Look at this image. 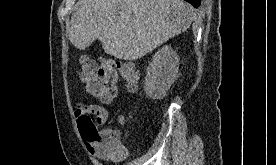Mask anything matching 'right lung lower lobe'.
Listing matches in <instances>:
<instances>
[{"label": "right lung lower lobe", "instance_id": "obj_1", "mask_svg": "<svg viewBox=\"0 0 276 165\" xmlns=\"http://www.w3.org/2000/svg\"><path fill=\"white\" fill-rule=\"evenodd\" d=\"M189 3H191L195 8L199 7L201 4V0H185Z\"/></svg>", "mask_w": 276, "mask_h": 165}]
</instances>
